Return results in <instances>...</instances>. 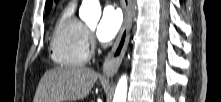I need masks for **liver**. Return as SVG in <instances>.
I'll list each match as a JSON object with an SVG mask.
<instances>
[{"label":"liver","instance_id":"obj_1","mask_svg":"<svg viewBox=\"0 0 221 102\" xmlns=\"http://www.w3.org/2000/svg\"><path fill=\"white\" fill-rule=\"evenodd\" d=\"M98 78L97 72L79 66L57 67L41 78L34 102H75L86 98Z\"/></svg>","mask_w":221,"mask_h":102}]
</instances>
